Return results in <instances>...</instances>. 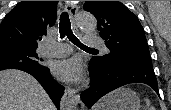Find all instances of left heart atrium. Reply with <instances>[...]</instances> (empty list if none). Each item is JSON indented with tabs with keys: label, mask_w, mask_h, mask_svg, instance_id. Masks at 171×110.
Returning <instances> with one entry per match:
<instances>
[{
	"label": "left heart atrium",
	"mask_w": 171,
	"mask_h": 110,
	"mask_svg": "<svg viewBox=\"0 0 171 110\" xmlns=\"http://www.w3.org/2000/svg\"><path fill=\"white\" fill-rule=\"evenodd\" d=\"M55 77L65 82H78L83 76V68L78 58L57 61L52 67Z\"/></svg>",
	"instance_id": "obj_1"
}]
</instances>
